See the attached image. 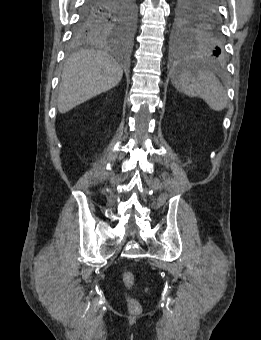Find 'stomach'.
I'll use <instances>...</instances> for the list:
<instances>
[{"label":"stomach","instance_id":"1","mask_svg":"<svg viewBox=\"0 0 261 340\" xmlns=\"http://www.w3.org/2000/svg\"><path fill=\"white\" fill-rule=\"evenodd\" d=\"M178 70H179V68L174 72V73H177L178 72Z\"/></svg>","mask_w":261,"mask_h":340}]
</instances>
